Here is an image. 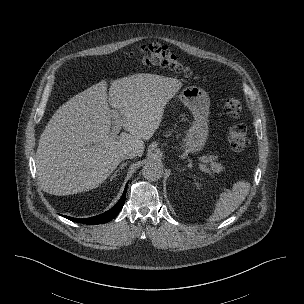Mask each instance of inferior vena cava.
Returning <instances> with one entry per match:
<instances>
[{
  "mask_svg": "<svg viewBox=\"0 0 304 304\" xmlns=\"http://www.w3.org/2000/svg\"><path fill=\"white\" fill-rule=\"evenodd\" d=\"M137 156H138V154L134 150L126 151L123 154H121L122 159H132V158L137 157Z\"/></svg>",
  "mask_w": 304,
  "mask_h": 304,
  "instance_id": "inferior-vena-cava-1",
  "label": "inferior vena cava"
}]
</instances>
